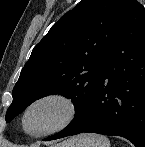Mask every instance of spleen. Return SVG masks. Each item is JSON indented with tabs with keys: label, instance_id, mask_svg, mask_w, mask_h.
<instances>
[{
	"label": "spleen",
	"instance_id": "3e777b00",
	"mask_svg": "<svg viewBox=\"0 0 145 147\" xmlns=\"http://www.w3.org/2000/svg\"><path fill=\"white\" fill-rule=\"evenodd\" d=\"M70 147H110L109 139L98 134H81L75 137Z\"/></svg>",
	"mask_w": 145,
	"mask_h": 147
}]
</instances>
